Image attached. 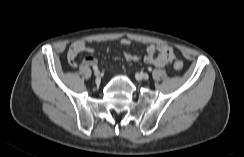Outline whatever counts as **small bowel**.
Wrapping results in <instances>:
<instances>
[{
  "label": "small bowel",
  "instance_id": "small-bowel-1",
  "mask_svg": "<svg viewBox=\"0 0 244 157\" xmlns=\"http://www.w3.org/2000/svg\"><path fill=\"white\" fill-rule=\"evenodd\" d=\"M120 43L122 45L129 46L132 44V41L130 39L124 38L120 41ZM84 51L92 53L94 50H93V48L89 47L87 42L84 40H78L71 44V46L68 50L67 59H68L69 64L72 67H76V65H77L76 57L79 53L84 52ZM124 57L128 61H133V62H139L141 60V57L139 55L132 54V53H125ZM174 58H175V55H174L173 49L169 45L150 44L147 47V53L144 56L143 60L145 63L154 65L156 67H164V66L172 63ZM83 63L85 65L92 66V65H96L98 63V60L95 57L89 55L83 59Z\"/></svg>",
  "mask_w": 244,
  "mask_h": 157
}]
</instances>
